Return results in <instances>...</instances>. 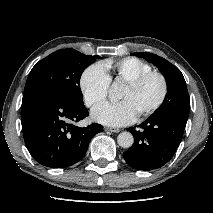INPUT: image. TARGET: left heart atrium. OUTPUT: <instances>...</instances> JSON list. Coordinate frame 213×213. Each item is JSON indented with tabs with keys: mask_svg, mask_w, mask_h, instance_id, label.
<instances>
[{
	"mask_svg": "<svg viewBox=\"0 0 213 213\" xmlns=\"http://www.w3.org/2000/svg\"><path fill=\"white\" fill-rule=\"evenodd\" d=\"M137 113L132 104L127 100L117 103H103L92 111V118L108 126H124L132 123Z\"/></svg>",
	"mask_w": 213,
	"mask_h": 213,
	"instance_id": "obj_1",
	"label": "left heart atrium"
}]
</instances>
